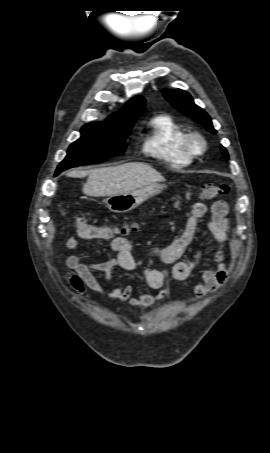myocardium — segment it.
<instances>
[{
    "instance_id": "f54148a6",
    "label": "myocardium",
    "mask_w": 270,
    "mask_h": 453,
    "mask_svg": "<svg viewBox=\"0 0 270 453\" xmlns=\"http://www.w3.org/2000/svg\"><path fill=\"white\" fill-rule=\"evenodd\" d=\"M184 151L192 158L203 155L207 150V140L199 132H187L182 138Z\"/></svg>"
}]
</instances>
